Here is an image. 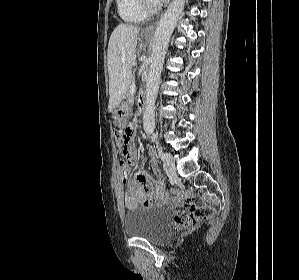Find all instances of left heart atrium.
I'll return each mask as SVG.
<instances>
[{"mask_svg": "<svg viewBox=\"0 0 299 280\" xmlns=\"http://www.w3.org/2000/svg\"><path fill=\"white\" fill-rule=\"evenodd\" d=\"M165 0H153V2L155 3V4H161V3H163Z\"/></svg>", "mask_w": 299, "mask_h": 280, "instance_id": "39dd6f15", "label": "left heart atrium"}]
</instances>
